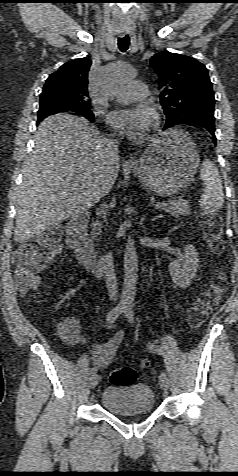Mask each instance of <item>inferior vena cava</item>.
Masks as SVG:
<instances>
[{
  "mask_svg": "<svg viewBox=\"0 0 238 476\" xmlns=\"http://www.w3.org/2000/svg\"><path fill=\"white\" fill-rule=\"evenodd\" d=\"M103 148L104 154L107 160L110 161H119V142L112 138H104L103 139ZM102 265L105 271L106 277V288L108 290V295L110 300L116 301L117 300V282L113 270V263L111 254L107 253L102 258Z\"/></svg>",
  "mask_w": 238,
  "mask_h": 476,
  "instance_id": "inferior-vena-cava-1",
  "label": "inferior vena cava"
}]
</instances>
